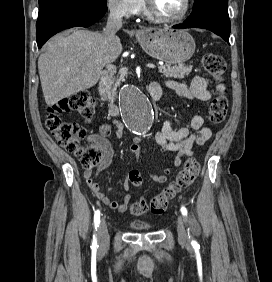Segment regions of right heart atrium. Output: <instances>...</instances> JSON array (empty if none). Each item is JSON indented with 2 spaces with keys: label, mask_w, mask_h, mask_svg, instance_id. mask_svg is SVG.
Listing matches in <instances>:
<instances>
[{
  "label": "right heart atrium",
  "mask_w": 272,
  "mask_h": 282,
  "mask_svg": "<svg viewBox=\"0 0 272 282\" xmlns=\"http://www.w3.org/2000/svg\"><path fill=\"white\" fill-rule=\"evenodd\" d=\"M141 0H107L110 13L116 17L126 18L137 13Z\"/></svg>",
  "instance_id": "right-heart-atrium-1"
}]
</instances>
